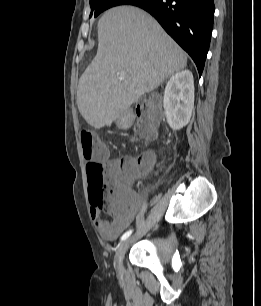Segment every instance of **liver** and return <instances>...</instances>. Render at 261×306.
<instances>
[{
    "label": "liver",
    "instance_id": "obj_1",
    "mask_svg": "<svg viewBox=\"0 0 261 306\" xmlns=\"http://www.w3.org/2000/svg\"><path fill=\"white\" fill-rule=\"evenodd\" d=\"M187 66V55L145 11L118 6L98 22V50L79 79L78 109L94 128L111 126L142 95Z\"/></svg>",
    "mask_w": 261,
    "mask_h": 306
}]
</instances>
